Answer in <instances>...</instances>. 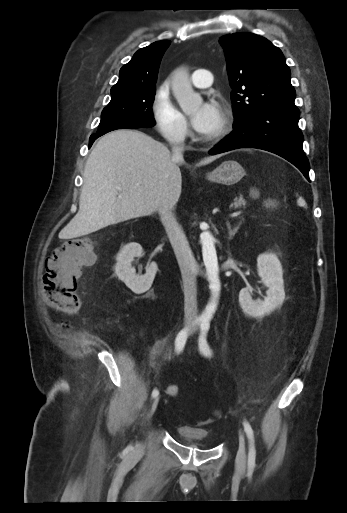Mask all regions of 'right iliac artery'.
I'll use <instances>...</instances> for the list:
<instances>
[{"mask_svg": "<svg viewBox=\"0 0 347 513\" xmlns=\"http://www.w3.org/2000/svg\"><path fill=\"white\" fill-rule=\"evenodd\" d=\"M187 338H188V330L187 329H183L178 333L176 340H175V350L177 353H180L183 350V348L186 344ZM158 395H159V391L157 389H154L152 391V397L156 398Z\"/></svg>", "mask_w": 347, "mask_h": 513, "instance_id": "right-iliac-artery-1", "label": "right iliac artery"}]
</instances>
